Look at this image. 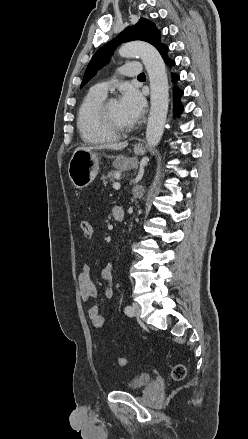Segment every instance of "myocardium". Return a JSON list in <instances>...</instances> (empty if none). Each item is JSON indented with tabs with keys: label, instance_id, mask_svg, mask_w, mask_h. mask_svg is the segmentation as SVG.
<instances>
[{
	"label": "myocardium",
	"instance_id": "myocardium-1",
	"mask_svg": "<svg viewBox=\"0 0 248 439\" xmlns=\"http://www.w3.org/2000/svg\"><path fill=\"white\" fill-rule=\"evenodd\" d=\"M113 100L116 99L108 98L103 100L97 110L98 120L103 128L112 134H115L117 136L128 134L134 129V125L132 124L130 126L123 127L114 123L109 112V105Z\"/></svg>",
	"mask_w": 248,
	"mask_h": 439
}]
</instances>
